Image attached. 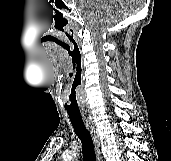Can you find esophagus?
Instances as JSON below:
<instances>
[{"mask_svg":"<svg viewBox=\"0 0 171 161\" xmlns=\"http://www.w3.org/2000/svg\"><path fill=\"white\" fill-rule=\"evenodd\" d=\"M82 116L84 118L85 123L90 129V132L94 141V148H95V152L97 156V161H101L102 157L100 155V149H99L98 131L94 123L93 117L91 116V114L87 112H83Z\"/></svg>","mask_w":171,"mask_h":161,"instance_id":"esophagus-1","label":"esophagus"}]
</instances>
